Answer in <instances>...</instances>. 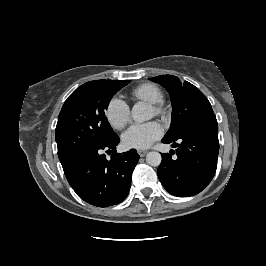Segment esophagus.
<instances>
[{
	"mask_svg": "<svg viewBox=\"0 0 266 266\" xmlns=\"http://www.w3.org/2000/svg\"><path fill=\"white\" fill-rule=\"evenodd\" d=\"M137 153L139 154L140 157H144L147 154L146 150H137Z\"/></svg>",
	"mask_w": 266,
	"mask_h": 266,
	"instance_id": "1",
	"label": "esophagus"
}]
</instances>
